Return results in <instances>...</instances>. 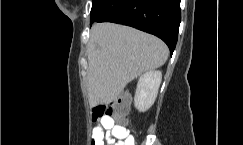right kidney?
Returning <instances> with one entry per match:
<instances>
[{
  "mask_svg": "<svg viewBox=\"0 0 243 145\" xmlns=\"http://www.w3.org/2000/svg\"><path fill=\"white\" fill-rule=\"evenodd\" d=\"M162 81L161 71H148L138 80L134 105L140 112L147 111L155 102Z\"/></svg>",
  "mask_w": 243,
  "mask_h": 145,
  "instance_id": "obj_1",
  "label": "right kidney"
}]
</instances>
